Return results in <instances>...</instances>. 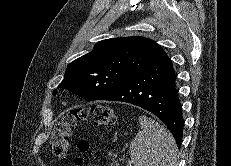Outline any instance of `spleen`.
Masks as SVG:
<instances>
[{
    "label": "spleen",
    "instance_id": "spleen-1",
    "mask_svg": "<svg viewBox=\"0 0 231 166\" xmlns=\"http://www.w3.org/2000/svg\"><path fill=\"white\" fill-rule=\"evenodd\" d=\"M139 123L141 130L130 143L133 166H178V149L170 131L145 115Z\"/></svg>",
    "mask_w": 231,
    "mask_h": 166
}]
</instances>
